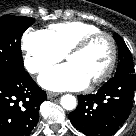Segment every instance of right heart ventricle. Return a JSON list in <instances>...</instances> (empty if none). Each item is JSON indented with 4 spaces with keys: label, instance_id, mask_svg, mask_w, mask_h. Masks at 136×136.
<instances>
[{
    "label": "right heart ventricle",
    "instance_id": "e07e8e85",
    "mask_svg": "<svg viewBox=\"0 0 136 136\" xmlns=\"http://www.w3.org/2000/svg\"><path fill=\"white\" fill-rule=\"evenodd\" d=\"M98 31L100 29L90 23L67 21L50 25L45 33L56 49L64 55L80 39Z\"/></svg>",
    "mask_w": 136,
    "mask_h": 136
}]
</instances>
